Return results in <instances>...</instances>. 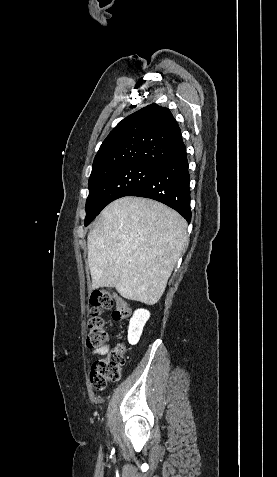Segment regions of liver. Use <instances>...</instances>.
I'll return each instance as SVG.
<instances>
[{
	"mask_svg": "<svg viewBox=\"0 0 277 477\" xmlns=\"http://www.w3.org/2000/svg\"><path fill=\"white\" fill-rule=\"evenodd\" d=\"M187 240V222L168 206L139 197L115 200L87 237L92 289L115 288L126 299L156 304Z\"/></svg>",
	"mask_w": 277,
	"mask_h": 477,
	"instance_id": "6515ba94",
	"label": "liver"
}]
</instances>
